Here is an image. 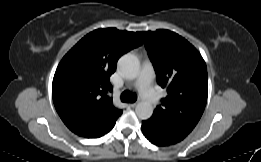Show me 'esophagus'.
Listing matches in <instances>:
<instances>
[{"label": "esophagus", "mask_w": 261, "mask_h": 162, "mask_svg": "<svg viewBox=\"0 0 261 162\" xmlns=\"http://www.w3.org/2000/svg\"><path fill=\"white\" fill-rule=\"evenodd\" d=\"M138 105V102H135V103H132V104H129L130 107L134 108Z\"/></svg>", "instance_id": "esophagus-1"}]
</instances>
